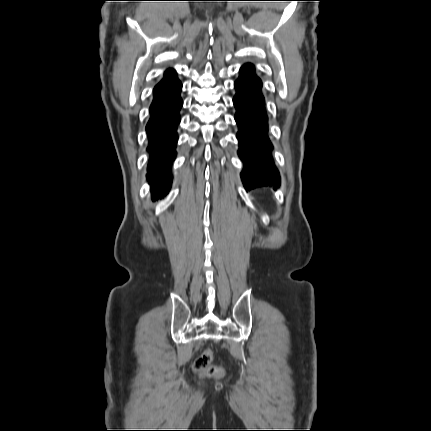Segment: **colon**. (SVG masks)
<instances>
[{
  "instance_id": "colon-1",
  "label": "colon",
  "mask_w": 431,
  "mask_h": 431,
  "mask_svg": "<svg viewBox=\"0 0 431 431\" xmlns=\"http://www.w3.org/2000/svg\"><path fill=\"white\" fill-rule=\"evenodd\" d=\"M212 359L211 351H205L195 361L193 369L195 371H203L207 376L220 378L223 376L224 371L220 367L210 365Z\"/></svg>"
}]
</instances>
